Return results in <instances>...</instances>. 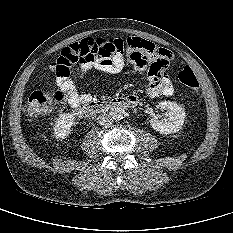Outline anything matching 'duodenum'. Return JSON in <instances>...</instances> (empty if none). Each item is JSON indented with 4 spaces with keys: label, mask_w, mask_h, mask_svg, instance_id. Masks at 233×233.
I'll return each instance as SVG.
<instances>
[{
    "label": "duodenum",
    "mask_w": 233,
    "mask_h": 233,
    "mask_svg": "<svg viewBox=\"0 0 233 233\" xmlns=\"http://www.w3.org/2000/svg\"><path fill=\"white\" fill-rule=\"evenodd\" d=\"M137 104L138 99L135 96L117 97L110 101H91L81 105L77 114L83 118H92L116 108H133Z\"/></svg>",
    "instance_id": "obj_1"
}]
</instances>
